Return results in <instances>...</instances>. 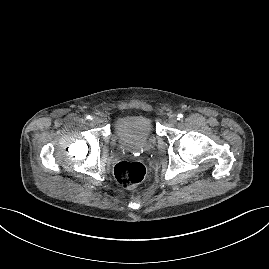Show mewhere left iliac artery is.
Here are the masks:
<instances>
[{
	"instance_id": "44dca946",
	"label": "left iliac artery",
	"mask_w": 269,
	"mask_h": 269,
	"mask_svg": "<svg viewBox=\"0 0 269 269\" xmlns=\"http://www.w3.org/2000/svg\"><path fill=\"white\" fill-rule=\"evenodd\" d=\"M182 118H183V114L180 113L177 115V120H181Z\"/></svg>"
}]
</instances>
